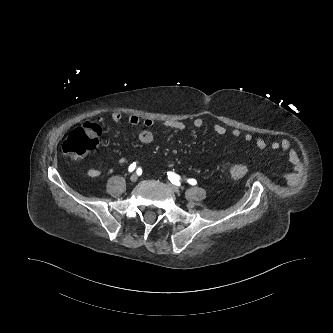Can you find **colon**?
<instances>
[{"label":"colon","mask_w":333,"mask_h":333,"mask_svg":"<svg viewBox=\"0 0 333 333\" xmlns=\"http://www.w3.org/2000/svg\"><path fill=\"white\" fill-rule=\"evenodd\" d=\"M101 133L102 127L99 122L86 121L68 135L62 144V151L72 159L83 157L96 148ZM228 172L232 178L241 179L247 174L248 169L243 163L235 162L230 165Z\"/></svg>","instance_id":"obj_1"}]
</instances>
